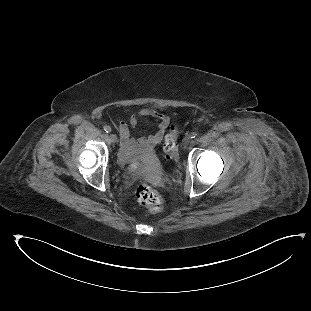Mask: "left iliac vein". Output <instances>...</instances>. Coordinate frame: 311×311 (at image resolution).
Instances as JSON below:
<instances>
[{
  "mask_svg": "<svg viewBox=\"0 0 311 311\" xmlns=\"http://www.w3.org/2000/svg\"><path fill=\"white\" fill-rule=\"evenodd\" d=\"M190 142H191V137L190 136H185L183 138V141H182L183 146H185V147L188 146L190 144Z\"/></svg>",
  "mask_w": 311,
  "mask_h": 311,
  "instance_id": "obj_1",
  "label": "left iliac vein"
}]
</instances>
